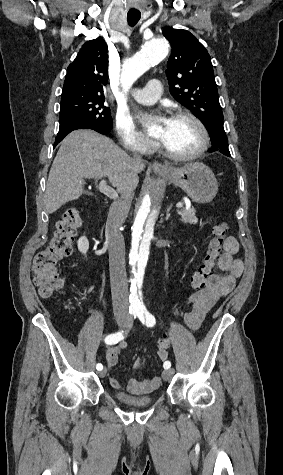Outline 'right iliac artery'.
I'll return each instance as SVG.
<instances>
[{"label":"right iliac artery","instance_id":"right-iliac-artery-1","mask_svg":"<svg viewBox=\"0 0 283 475\" xmlns=\"http://www.w3.org/2000/svg\"><path fill=\"white\" fill-rule=\"evenodd\" d=\"M134 318H136V315L134 314ZM124 339V331H120V332H117L115 334H110L108 335L106 338H105V343L106 344H109V345H112V344H116L118 343L119 341L123 340ZM96 369L98 371H101L103 369V365L101 363H98L96 365Z\"/></svg>","mask_w":283,"mask_h":475}]
</instances>
